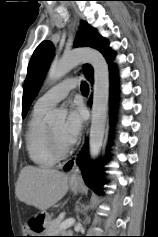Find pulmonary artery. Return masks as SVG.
Instances as JSON below:
<instances>
[{
  "label": "pulmonary artery",
  "mask_w": 158,
  "mask_h": 237,
  "mask_svg": "<svg viewBox=\"0 0 158 237\" xmlns=\"http://www.w3.org/2000/svg\"><path fill=\"white\" fill-rule=\"evenodd\" d=\"M77 83L78 81L76 78L65 79L57 83L37 100L36 105L51 108L61 100L65 99L69 92L77 86Z\"/></svg>",
  "instance_id": "1"
}]
</instances>
